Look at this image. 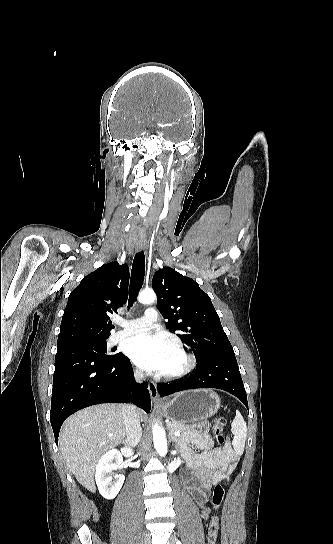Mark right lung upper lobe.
Segmentation results:
<instances>
[{
  "label": "right lung upper lobe",
  "instance_id": "obj_1",
  "mask_svg": "<svg viewBox=\"0 0 333 544\" xmlns=\"http://www.w3.org/2000/svg\"><path fill=\"white\" fill-rule=\"evenodd\" d=\"M129 268L116 261L85 276L74 289L62 317L57 348L106 340L114 328L109 314L117 312L128 296Z\"/></svg>",
  "mask_w": 333,
  "mask_h": 544
}]
</instances>
